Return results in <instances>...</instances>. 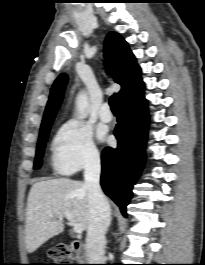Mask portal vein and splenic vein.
Here are the masks:
<instances>
[{
    "mask_svg": "<svg viewBox=\"0 0 205 265\" xmlns=\"http://www.w3.org/2000/svg\"><path fill=\"white\" fill-rule=\"evenodd\" d=\"M62 216H64L68 221L71 226H73V230L77 234H81L83 232V227L81 224L75 221L73 215L69 212H64L62 213Z\"/></svg>",
    "mask_w": 205,
    "mask_h": 265,
    "instance_id": "1",
    "label": "portal vein and splenic vein"
}]
</instances>
